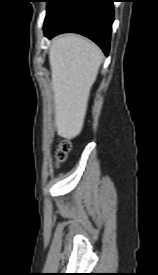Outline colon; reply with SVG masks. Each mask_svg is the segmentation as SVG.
I'll use <instances>...</instances> for the list:
<instances>
[{"mask_svg": "<svg viewBox=\"0 0 158 275\" xmlns=\"http://www.w3.org/2000/svg\"><path fill=\"white\" fill-rule=\"evenodd\" d=\"M71 150V144L69 141H63L60 148L56 152V160L59 163L64 162L67 159L68 153Z\"/></svg>", "mask_w": 158, "mask_h": 275, "instance_id": "obj_1", "label": "colon"}]
</instances>
